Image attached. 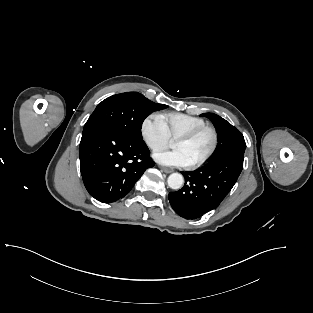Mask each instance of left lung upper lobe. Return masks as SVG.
<instances>
[{"mask_svg":"<svg viewBox=\"0 0 313 313\" xmlns=\"http://www.w3.org/2000/svg\"><path fill=\"white\" fill-rule=\"evenodd\" d=\"M201 116L209 118L218 133V145L211 160L229 153L245 151L243 135L228 121L213 113H203Z\"/></svg>","mask_w":313,"mask_h":313,"instance_id":"1","label":"left lung upper lobe"}]
</instances>
